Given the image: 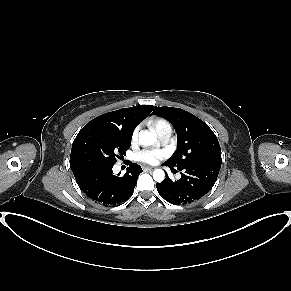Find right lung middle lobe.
Returning <instances> with one entry per match:
<instances>
[{"label": "right lung middle lobe", "mask_w": 291, "mask_h": 291, "mask_svg": "<svg viewBox=\"0 0 291 291\" xmlns=\"http://www.w3.org/2000/svg\"><path fill=\"white\" fill-rule=\"evenodd\" d=\"M132 133L105 125L82 128L71 150L72 172L96 166H113L117 153L125 154L130 148Z\"/></svg>", "instance_id": "obj_1"}]
</instances>
